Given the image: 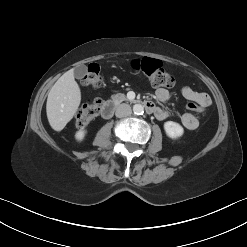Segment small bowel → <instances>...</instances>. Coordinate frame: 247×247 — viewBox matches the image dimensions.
Returning a JSON list of instances; mask_svg holds the SVG:
<instances>
[{
  "label": "small bowel",
  "mask_w": 247,
  "mask_h": 247,
  "mask_svg": "<svg viewBox=\"0 0 247 247\" xmlns=\"http://www.w3.org/2000/svg\"><path fill=\"white\" fill-rule=\"evenodd\" d=\"M182 96L189 101V103L198 104L201 107H208L211 105V98L205 92H198L189 86H184L181 89ZM155 96L158 100L165 102L171 97L168 90L159 88L155 92ZM154 115L159 120H165L169 117V112L161 107H156ZM181 123L187 130H195L199 126V120L191 113H185L181 116Z\"/></svg>",
  "instance_id": "1"
}]
</instances>
